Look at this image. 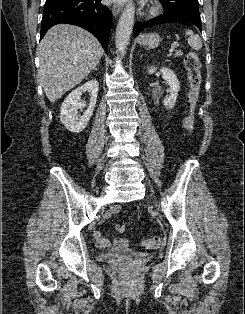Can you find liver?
Returning a JSON list of instances; mask_svg holds the SVG:
<instances>
[{
    "instance_id": "6515ba94",
    "label": "liver",
    "mask_w": 245,
    "mask_h": 314,
    "mask_svg": "<svg viewBox=\"0 0 245 314\" xmlns=\"http://www.w3.org/2000/svg\"><path fill=\"white\" fill-rule=\"evenodd\" d=\"M104 50L88 31L68 24L53 26L42 39L39 81L48 100L56 102L97 66Z\"/></svg>"
}]
</instances>
